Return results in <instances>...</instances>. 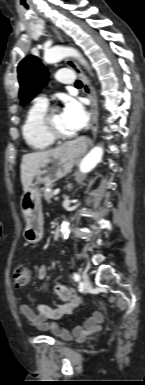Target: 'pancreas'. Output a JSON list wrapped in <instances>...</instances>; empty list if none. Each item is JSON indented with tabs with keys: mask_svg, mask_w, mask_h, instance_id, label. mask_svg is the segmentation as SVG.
<instances>
[{
	"mask_svg": "<svg viewBox=\"0 0 145 385\" xmlns=\"http://www.w3.org/2000/svg\"><path fill=\"white\" fill-rule=\"evenodd\" d=\"M46 188H51V186H47ZM46 188L44 189L43 191V195H44V199L50 203L51 202V198L53 197V192L50 190H46Z\"/></svg>",
	"mask_w": 145,
	"mask_h": 385,
	"instance_id": "1",
	"label": "pancreas"
}]
</instances>
